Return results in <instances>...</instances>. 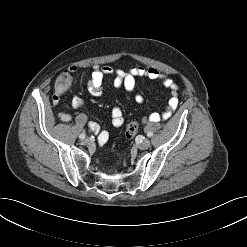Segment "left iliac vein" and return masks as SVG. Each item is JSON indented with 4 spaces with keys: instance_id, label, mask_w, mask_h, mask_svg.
<instances>
[{
    "instance_id": "4c4485c4",
    "label": "left iliac vein",
    "mask_w": 247,
    "mask_h": 247,
    "mask_svg": "<svg viewBox=\"0 0 247 247\" xmlns=\"http://www.w3.org/2000/svg\"><path fill=\"white\" fill-rule=\"evenodd\" d=\"M151 143H150V140L149 139H144L139 145L138 147L141 149V150H145V149H148L150 147Z\"/></svg>"
}]
</instances>
